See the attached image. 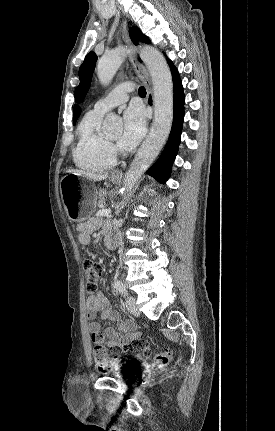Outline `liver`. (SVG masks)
Masks as SVG:
<instances>
[{
    "mask_svg": "<svg viewBox=\"0 0 275 431\" xmlns=\"http://www.w3.org/2000/svg\"><path fill=\"white\" fill-rule=\"evenodd\" d=\"M68 173H72V174H76L78 176H84L87 177L93 181H101L104 180L108 177V174H95V173H89V172H85V171H80V170H68Z\"/></svg>",
    "mask_w": 275,
    "mask_h": 431,
    "instance_id": "6515ba94",
    "label": "liver"
}]
</instances>
